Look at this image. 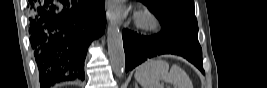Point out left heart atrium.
Instances as JSON below:
<instances>
[{"label": "left heart atrium", "instance_id": "39dd6f15", "mask_svg": "<svg viewBox=\"0 0 267 88\" xmlns=\"http://www.w3.org/2000/svg\"><path fill=\"white\" fill-rule=\"evenodd\" d=\"M114 12H115L117 15H122L124 11H123V8L118 7V6H115V7H114Z\"/></svg>", "mask_w": 267, "mask_h": 88}]
</instances>
